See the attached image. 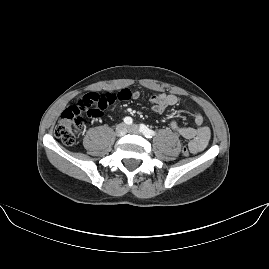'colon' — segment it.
Here are the masks:
<instances>
[{"instance_id":"5ec220e1","label":"colon","mask_w":269,"mask_h":269,"mask_svg":"<svg viewBox=\"0 0 269 269\" xmlns=\"http://www.w3.org/2000/svg\"><path fill=\"white\" fill-rule=\"evenodd\" d=\"M128 97L129 92L124 90L101 96L94 93L83 94L76 105L68 107L61 113L60 119L54 128L56 137L66 145H74L78 136L85 131L87 121H94L100 117L102 110L107 107L108 103L119 98ZM83 112L87 113V119L82 116ZM180 153L187 157L189 149L182 148Z\"/></svg>"}]
</instances>
